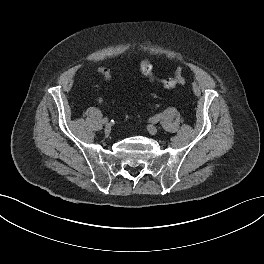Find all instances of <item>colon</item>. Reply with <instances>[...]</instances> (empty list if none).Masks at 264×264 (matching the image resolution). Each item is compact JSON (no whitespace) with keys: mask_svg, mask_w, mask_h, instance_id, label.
<instances>
[{"mask_svg":"<svg viewBox=\"0 0 264 264\" xmlns=\"http://www.w3.org/2000/svg\"><path fill=\"white\" fill-rule=\"evenodd\" d=\"M98 71L104 79H106V80L111 79V71L109 68L100 67L98 69ZM140 71L148 79H150L152 81L156 80V78L154 77V74H153V64L149 60H143L140 63ZM157 81L159 83H161L165 88H168V89L178 87V86L183 85L185 83V79H184V77L182 75V71L180 69L177 71L175 76L161 78V79H158Z\"/></svg>","mask_w":264,"mask_h":264,"instance_id":"5ec220e1","label":"colon"}]
</instances>
